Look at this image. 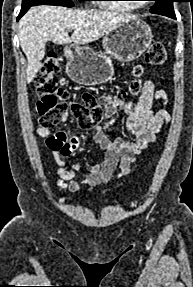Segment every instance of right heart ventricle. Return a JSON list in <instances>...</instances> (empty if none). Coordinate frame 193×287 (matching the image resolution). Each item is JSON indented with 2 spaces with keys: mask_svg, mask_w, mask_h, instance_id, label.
<instances>
[{
  "mask_svg": "<svg viewBox=\"0 0 193 287\" xmlns=\"http://www.w3.org/2000/svg\"><path fill=\"white\" fill-rule=\"evenodd\" d=\"M102 7L108 10L117 11V12H130L132 11V7L127 4L119 3L117 0H105Z\"/></svg>",
  "mask_w": 193,
  "mask_h": 287,
  "instance_id": "1",
  "label": "right heart ventricle"
}]
</instances>
